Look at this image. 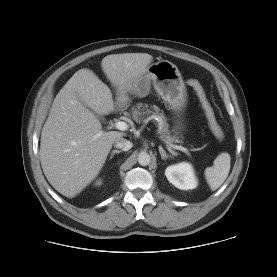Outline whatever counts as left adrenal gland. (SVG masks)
<instances>
[{"mask_svg":"<svg viewBox=\"0 0 277 277\" xmlns=\"http://www.w3.org/2000/svg\"><path fill=\"white\" fill-rule=\"evenodd\" d=\"M159 152H160V155H161V158L163 159V160H165V159H167V158H171L172 156L171 155H168L167 153H166V151L162 148V146H159Z\"/></svg>","mask_w":277,"mask_h":277,"instance_id":"a2214340","label":"left adrenal gland"}]
</instances>
